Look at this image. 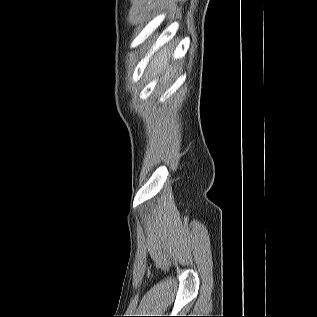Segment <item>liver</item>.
<instances>
[{
    "mask_svg": "<svg viewBox=\"0 0 317 317\" xmlns=\"http://www.w3.org/2000/svg\"><path fill=\"white\" fill-rule=\"evenodd\" d=\"M171 56V53L167 49H162L157 53L156 56L152 59L149 65V71L152 75L156 76L162 74V80H167L170 76L173 75V68L169 66L168 60Z\"/></svg>",
    "mask_w": 317,
    "mask_h": 317,
    "instance_id": "1",
    "label": "liver"
}]
</instances>
